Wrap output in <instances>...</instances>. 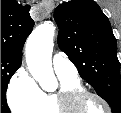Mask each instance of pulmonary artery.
Instances as JSON below:
<instances>
[{
    "label": "pulmonary artery",
    "mask_w": 121,
    "mask_h": 113,
    "mask_svg": "<svg viewBox=\"0 0 121 113\" xmlns=\"http://www.w3.org/2000/svg\"><path fill=\"white\" fill-rule=\"evenodd\" d=\"M53 68L57 75L77 76L78 73L76 66L63 54H55L53 56Z\"/></svg>",
    "instance_id": "pulmonary-artery-1"
}]
</instances>
